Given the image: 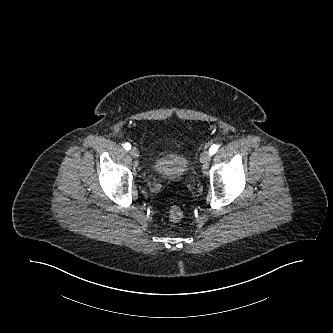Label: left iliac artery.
I'll return each instance as SVG.
<instances>
[{
    "mask_svg": "<svg viewBox=\"0 0 333 333\" xmlns=\"http://www.w3.org/2000/svg\"><path fill=\"white\" fill-rule=\"evenodd\" d=\"M218 148H219V145H218V144H213V145L210 147V149H209V153H210L211 155L215 154V153L217 152Z\"/></svg>",
    "mask_w": 333,
    "mask_h": 333,
    "instance_id": "44dca946",
    "label": "left iliac artery"
}]
</instances>
